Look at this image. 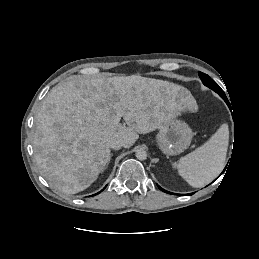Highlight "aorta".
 Here are the masks:
<instances>
[{
  "label": "aorta",
  "mask_w": 259,
  "mask_h": 259,
  "mask_svg": "<svg viewBox=\"0 0 259 259\" xmlns=\"http://www.w3.org/2000/svg\"><path fill=\"white\" fill-rule=\"evenodd\" d=\"M135 155L138 160H145L147 158V152L143 149H138Z\"/></svg>",
  "instance_id": "1"
}]
</instances>
